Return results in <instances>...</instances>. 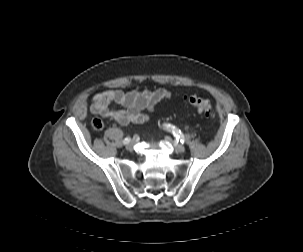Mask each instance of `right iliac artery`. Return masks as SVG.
<instances>
[{"label": "right iliac artery", "instance_id": "obj_1", "mask_svg": "<svg viewBox=\"0 0 303 252\" xmlns=\"http://www.w3.org/2000/svg\"><path fill=\"white\" fill-rule=\"evenodd\" d=\"M129 141H130V138L127 137V138H125V139L123 140V143H124V144H127V143H129Z\"/></svg>", "mask_w": 303, "mask_h": 252}]
</instances>
